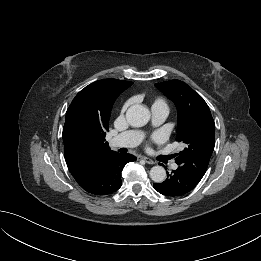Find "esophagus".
I'll return each mask as SVG.
<instances>
[{"label": "esophagus", "mask_w": 261, "mask_h": 261, "mask_svg": "<svg viewBox=\"0 0 261 261\" xmlns=\"http://www.w3.org/2000/svg\"><path fill=\"white\" fill-rule=\"evenodd\" d=\"M146 163H148V164H155V162L152 160V159H150V158H148V157H141Z\"/></svg>", "instance_id": "obj_1"}]
</instances>
